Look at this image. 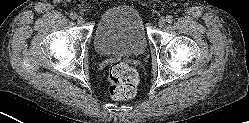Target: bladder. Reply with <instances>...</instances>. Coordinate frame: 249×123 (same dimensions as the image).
Listing matches in <instances>:
<instances>
[{"label":"bladder","mask_w":249,"mask_h":123,"mask_svg":"<svg viewBox=\"0 0 249 123\" xmlns=\"http://www.w3.org/2000/svg\"><path fill=\"white\" fill-rule=\"evenodd\" d=\"M148 42L143 16L131 2L112 6L96 23L93 45L99 55L137 56L144 53Z\"/></svg>","instance_id":"1"}]
</instances>
